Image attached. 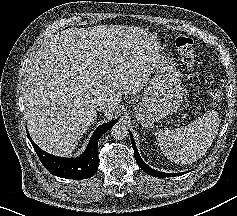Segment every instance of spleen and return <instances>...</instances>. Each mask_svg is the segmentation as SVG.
Here are the masks:
<instances>
[{
	"instance_id": "spleen-1",
	"label": "spleen",
	"mask_w": 237,
	"mask_h": 216,
	"mask_svg": "<svg viewBox=\"0 0 237 216\" xmlns=\"http://www.w3.org/2000/svg\"><path fill=\"white\" fill-rule=\"evenodd\" d=\"M217 126L210 122L208 114L174 130L159 131L157 141L165 156L172 161L193 162L211 146Z\"/></svg>"
}]
</instances>
